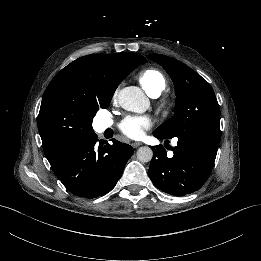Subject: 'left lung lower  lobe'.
<instances>
[{
    "mask_svg": "<svg viewBox=\"0 0 261 261\" xmlns=\"http://www.w3.org/2000/svg\"><path fill=\"white\" fill-rule=\"evenodd\" d=\"M153 135L167 139L156 133ZM177 138V146L172 148L174 155L171 158L167 157L162 145L156 146L148 174L161 191L184 196L199 190L209 178L220 142V133L206 128H195L185 131Z\"/></svg>",
    "mask_w": 261,
    "mask_h": 261,
    "instance_id": "0a47b994",
    "label": "left lung lower lobe"
}]
</instances>
